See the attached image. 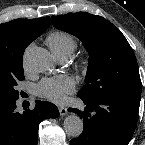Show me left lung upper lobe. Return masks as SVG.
Here are the masks:
<instances>
[{
  "instance_id": "1",
  "label": "left lung upper lobe",
  "mask_w": 145,
  "mask_h": 145,
  "mask_svg": "<svg viewBox=\"0 0 145 145\" xmlns=\"http://www.w3.org/2000/svg\"><path fill=\"white\" fill-rule=\"evenodd\" d=\"M52 24L78 37L89 52L86 85L78 92L89 100L123 93H141L134 52L111 22L90 13L52 16Z\"/></svg>"
}]
</instances>
